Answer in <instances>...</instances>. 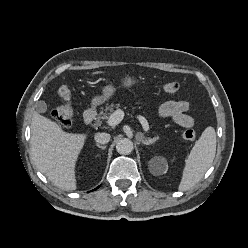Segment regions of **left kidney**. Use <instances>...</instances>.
<instances>
[{
    "label": "left kidney",
    "instance_id": "obj_1",
    "mask_svg": "<svg viewBox=\"0 0 248 248\" xmlns=\"http://www.w3.org/2000/svg\"><path fill=\"white\" fill-rule=\"evenodd\" d=\"M149 169L153 174H164L168 170V163L164 157L155 156L149 161Z\"/></svg>",
    "mask_w": 248,
    "mask_h": 248
}]
</instances>
